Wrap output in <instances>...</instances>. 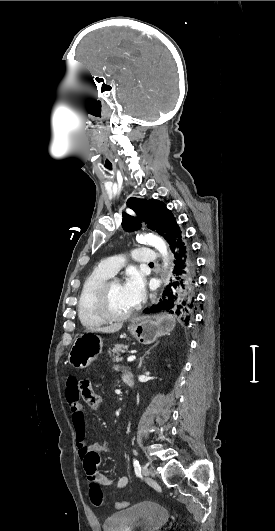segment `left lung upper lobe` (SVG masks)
Listing matches in <instances>:
<instances>
[{
  "label": "left lung upper lobe",
  "mask_w": 275,
  "mask_h": 531,
  "mask_svg": "<svg viewBox=\"0 0 275 531\" xmlns=\"http://www.w3.org/2000/svg\"><path fill=\"white\" fill-rule=\"evenodd\" d=\"M127 206L137 216H131L127 213L122 214V225L126 231L139 229L141 227V221H143L148 228L155 230L167 240L170 230L177 224L172 212L166 208L163 202L158 200H142L131 197L127 201Z\"/></svg>",
  "instance_id": "obj_1"
}]
</instances>
